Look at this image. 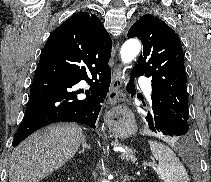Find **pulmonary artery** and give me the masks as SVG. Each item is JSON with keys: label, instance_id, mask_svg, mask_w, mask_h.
<instances>
[{"label": "pulmonary artery", "instance_id": "e3ab8cb5", "mask_svg": "<svg viewBox=\"0 0 211 182\" xmlns=\"http://www.w3.org/2000/svg\"><path fill=\"white\" fill-rule=\"evenodd\" d=\"M139 83L144 86L145 93L150 98V96L152 94V89H151L150 85L147 83L146 78L145 77H141L139 79Z\"/></svg>", "mask_w": 211, "mask_h": 182}]
</instances>
